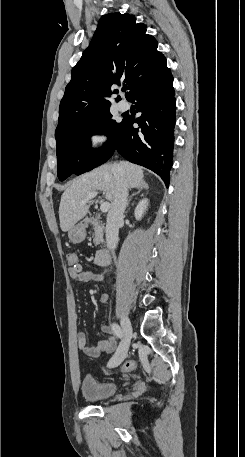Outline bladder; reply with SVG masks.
<instances>
[{
  "label": "bladder",
  "mask_w": 245,
  "mask_h": 457,
  "mask_svg": "<svg viewBox=\"0 0 245 457\" xmlns=\"http://www.w3.org/2000/svg\"><path fill=\"white\" fill-rule=\"evenodd\" d=\"M81 387L83 397L91 401L113 396L117 390L116 384L98 381L91 375L83 377Z\"/></svg>",
  "instance_id": "1"
}]
</instances>
